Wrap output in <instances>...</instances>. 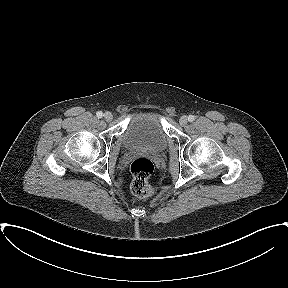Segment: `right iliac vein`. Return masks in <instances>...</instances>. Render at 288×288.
I'll list each match as a JSON object with an SVG mask.
<instances>
[{
	"mask_svg": "<svg viewBox=\"0 0 288 288\" xmlns=\"http://www.w3.org/2000/svg\"><path fill=\"white\" fill-rule=\"evenodd\" d=\"M104 119L107 121V122H110L112 119H113V115L110 113V112H106L104 114Z\"/></svg>",
	"mask_w": 288,
	"mask_h": 288,
	"instance_id": "obj_1",
	"label": "right iliac vein"
}]
</instances>
